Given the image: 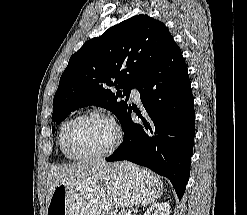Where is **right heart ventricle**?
<instances>
[{
    "instance_id": "e07e8e85",
    "label": "right heart ventricle",
    "mask_w": 247,
    "mask_h": 215,
    "mask_svg": "<svg viewBox=\"0 0 247 215\" xmlns=\"http://www.w3.org/2000/svg\"><path fill=\"white\" fill-rule=\"evenodd\" d=\"M72 118H68L65 121L62 122L60 128H59V132H58V145H59V149L61 154L63 155V157L67 160H75L68 152V148H67V143H66V136H67V131L68 128L72 122Z\"/></svg>"
}]
</instances>
